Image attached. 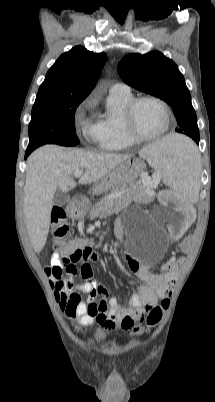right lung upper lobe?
Segmentation results:
<instances>
[{
    "instance_id": "cb5924a9",
    "label": "right lung upper lobe",
    "mask_w": 215,
    "mask_h": 402,
    "mask_svg": "<svg viewBox=\"0 0 215 402\" xmlns=\"http://www.w3.org/2000/svg\"><path fill=\"white\" fill-rule=\"evenodd\" d=\"M105 53L76 46L62 54L46 74L37 95L86 98L106 62Z\"/></svg>"
}]
</instances>
